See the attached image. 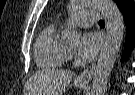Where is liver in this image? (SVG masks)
I'll return each instance as SVG.
<instances>
[{
	"label": "liver",
	"instance_id": "1",
	"mask_svg": "<svg viewBox=\"0 0 135 95\" xmlns=\"http://www.w3.org/2000/svg\"><path fill=\"white\" fill-rule=\"evenodd\" d=\"M73 75V72L67 70H43L37 72L26 82L24 91L29 93L28 95H62Z\"/></svg>",
	"mask_w": 135,
	"mask_h": 95
}]
</instances>
